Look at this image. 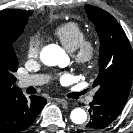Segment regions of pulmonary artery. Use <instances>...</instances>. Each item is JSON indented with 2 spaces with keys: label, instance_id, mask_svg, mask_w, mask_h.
Segmentation results:
<instances>
[{
  "label": "pulmonary artery",
  "instance_id": "obj_1",
  "mask_svg": "<svg viewBox=\"0 0 133 133\" xmlns=\"http://www.w3.org/2000/svg\"><path fill=\"white\" fill-rule=\"evenodd\" d=\"M47 80L44 75H26L19 78L17 85L19 88L24 89L30 86H37L43 84ZM90 102L93 100L92 97L88 99Z\"/></svg>",
  "mask_w": 133,
  "mask_h": 133
}]
</instances>
